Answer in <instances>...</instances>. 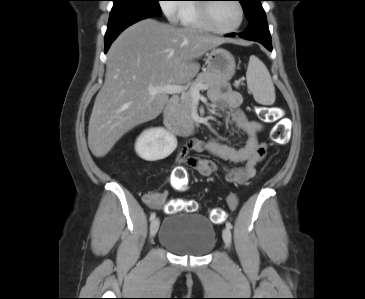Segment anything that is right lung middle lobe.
I'll use <instances>...</instances> for the list:
<instances>
[{
  "mask_svg": "<svg viewBox=\"0 0 365 299\" xmlns=\"http://www.w3.org/2000/svg\"><path fill=\"white\" fill-rule=\"evenodd\" d=\"M114 1L113 8L110 13V18L124 16L129 13L139 12H155L160 13V0H112Z\"/></svg>",
  "mask_w": 365,
  "mask_h": 299,
  "instance_id": "dd1d6c3e",
  "label": "right lung middle lobe"
}]
</instances>
